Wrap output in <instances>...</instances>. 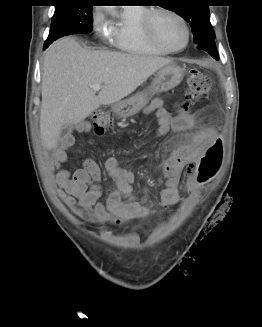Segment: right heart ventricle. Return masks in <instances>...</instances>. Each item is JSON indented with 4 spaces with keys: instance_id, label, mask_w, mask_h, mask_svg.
<instances>
[{
    "instance_id": "1",
    "label": "right heart ventricle",
    "mask_w": 262,
    "mask_h": 327,
    "mask_svg": "<svg viewBox=\"0 0 262 327\" xmlns=\"http://www.w3.org/2000/svg\"><path fill=\"white\" fill-rule=\"evenodd\" d=\"M147 10L144 7H124L111 22V42L116 48L137 55L167 53L151 43L142 29V18Z\"/></svg>"
}]
</instances>
